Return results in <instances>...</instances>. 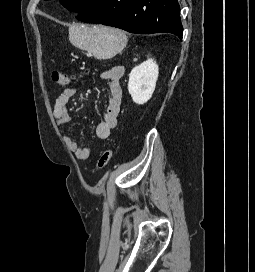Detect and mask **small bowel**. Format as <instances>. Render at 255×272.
I'll use <instances>...</instances> for the list:
<instances>
[{
	"label": "small bowel",
	"mask_w": 255,
	"mask_h": 272,
	"mask_svg": "<svg viewBox=\"0 0 255 272\" xmlns=\"http://www.w3.org/2000/svg\"><path fill=\"white\" fill-rule=\"evenodd\" d=\"M125 73L122 66H114L101 74V78L109 83L110 99L106 107L103 120L96 126V135L100 139H107L112 130L117 126L120 109L123 100L121 79ZM75 87H68L62 91L56 99L53 115L56 124L60 127L67 125L70 121L68 103L76 95ZM69 149L77 159L87 160L90 151L87 147L80 146L74 139L67 137Z\"/></svg>",
	"instance_id": "1"
}]
</instances>
